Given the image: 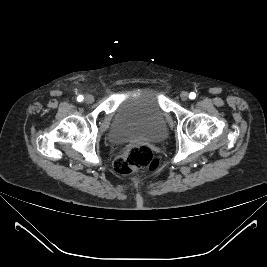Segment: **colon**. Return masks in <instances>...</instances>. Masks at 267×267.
<instances>
[{
	"label": "colon",
	"instance_id": "5ec220e1",
	"mask_svg": "<svg viewBox=\"0 0 267 267\" xmlns=\"http://www.w3.org/2000/svg\"><path fill=\"white\" fill-rule=\"evenodd\" d=\"M159 165V160L152 150L145 145H132L114 163L116 173L128 175L137 171H153Z\"/></svg>",
	"mask_w": 267,
	"mask_h": 267
}]
</instances>
